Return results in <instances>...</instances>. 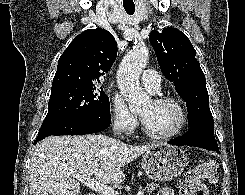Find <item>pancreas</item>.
Segmentation results:
<instances>
[{"label":"pancreas","instance_id":"pancreas-1","mask_svg":"<svg viewBox=\"0 0 245 195\" xmlns=\"http://www.w3.org/2000/svg\"><path fill=\"white\" fill-rule=\"evenodd\" d=\"M158 187V184L152 182L150 184H147V190L148 192H152L153 190H155Z\"/></svg>","mask_w":245,"mask_h":195}]
</instances>
